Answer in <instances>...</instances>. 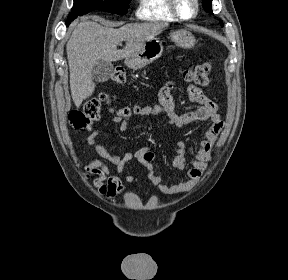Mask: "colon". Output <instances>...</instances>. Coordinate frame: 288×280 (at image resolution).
<instances>
[{"instance_id": "obj_1", "label": "colon", "mask_w": 288, "mask_h": 280, "mask_svg": "<svg viewBox=\"0 0 288 280\" xmlns=\"http://www.w3.org/2000/svg\"><path fill=\"white\" fill-rule=\"evenodd\" d=\"M212 77V65L209 62L194 65L185 73V78L197 85L205 86ZM112 80L116 84H123L126 80V73L122 67L115 68ZM112 98L108 94H101L99 97L89 100L82 110H75L69 113V122L75 129H89L98 120L103 105H110ZM140 108L131 110L122 108L118 115L123 119H128L133 113L138 114Z\"/></svg>"}]
</instances>
